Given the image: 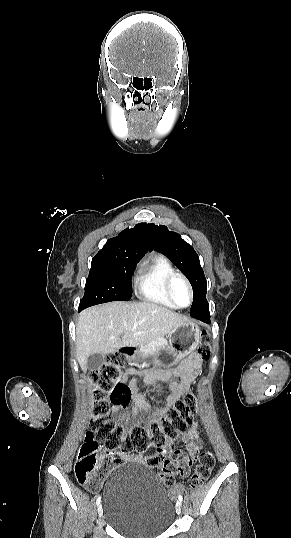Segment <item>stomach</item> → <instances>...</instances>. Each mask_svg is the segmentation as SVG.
Listing matches in <instances>:
<instances>
[{"mask_svg":"<svg viewBox=\"0 0 291 538\" xmlns=\"http://www.w3.org/2000/svg\"><path fill=\"white\" fill-rule=\"evenodd\" d=\"M201 340V330L194 322H187L178 326L169 334V348L160 349L151 355H141L134 351L127 358L135 363L141 359L152 357L157 367L168 371L177 369L179 363H186L187 354H192ZM174 367V369H172Z\"/></svg>","mask_w":291,"mask_h":538,"instance_id":"obj_1","label":"stomach"}]
</instances>
